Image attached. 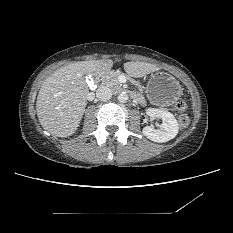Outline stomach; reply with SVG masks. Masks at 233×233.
<instances>
[{"mask_svg":"<svg viewBox=\"0 0 233 233\" xmlns=\"http://www.w3.org/2000/svg\"><path fill=\"white\" fill-rule=\"evenodd\" d=\"M146 92L151 101L160 105H170L179 99L182 88L172 75L160 71L151 75Z\"/></svg>","mask_w":233,"mask_h":233,"instance_id":"obj_1","label":"stomach"}]
</instances>
